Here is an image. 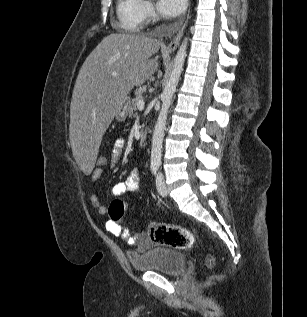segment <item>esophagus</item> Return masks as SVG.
I'll use <instances>...</instances> for the list:
<instances>
[{
	"instance_id": "34e87169",
	"label": "esophagus",
	"mask_w": 307,
	"mask_h": 317,
	"mask_svg": "<svg viewBox=\"0 0 307 317\" xmlns=\"http://www.w3.org/2000/svg\"><path fill=\"white\" fill-rule=\"evenodd\" d=\"M184 29H185V23L182 25L181 29L179 30V32L175 36V38L169 43V45L166 48V51L172 52L177 48V46L181 40V37L183 35Z\"/></svg>"
}]
</instances>
